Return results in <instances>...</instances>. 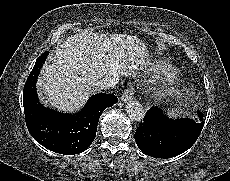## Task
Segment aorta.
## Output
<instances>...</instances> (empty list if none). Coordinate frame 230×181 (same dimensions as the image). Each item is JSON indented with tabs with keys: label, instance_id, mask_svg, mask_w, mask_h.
I'll use <instances>...</instances> for the list:
<instances>
[{
	"label": "aorta",
	"instance_id": "762f6f07",
	"mask_svg": "<svg viewBox=\"0 0 230 181\" xmlns=\"http://www.w3.org/2000/svg\"><path fill=\"white\" fill-rule=\"evenodd\" d=\"M126 112L131 120L140 122L145 116L142 104L137 100H129L126 104Z\"/></svg>",
	"mask_w": 230,
	"mask_h": 181
}]
</instances>
